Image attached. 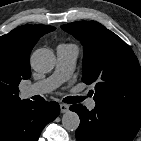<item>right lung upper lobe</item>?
Wrapping results in <instances>:
<instances>
[{
	"label": "right lung upper lobe",
	"mask_w": 141,
	"mask_h": 141,
	"mask_svg": "<svg viewBox=\"0 0 141 141\" xmlns=\"http://www.w3.org/2000/svg\"><path fill=\"white\" fill-rule=\"evenodd\" d=\"M55 29L48 25H24L0 37V116L30 101L19 98L18 85L31 76L32 48L41 36Z\"/></svg>",
	"instance_id": "obj_1"
}]
</instances>
